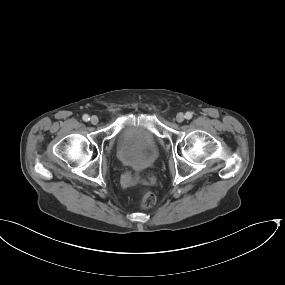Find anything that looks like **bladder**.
Wrapping results in <instances>:
<instances>
[{
    "mask_svg": "<svg viewBox=\"0 0 285 285\" xmlns=\"http://www.w3.org/2000/svg\"><path fill=\"white\" fill-rule=\"evenodd\" d=\"M119 160L127 167L142 170L152 165L156 154V137L147 127L128 125L116 134Z\"/></svg>",
    "mask_w": 285,
    "mask_h": 285,
    "instance_id": "1",
    "label": "bladder"
}]
</instances>
